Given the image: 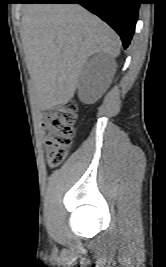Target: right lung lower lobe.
I'll use <instances>...</instances> for the list:
<instances>
[{
	"mask_svg": "<svg viewBox=\"0 0 166 267\" xmlns=\"http://www.w3.org/2000/svg\"><path fill=\"white\" fill-rule=\"evenodd\" d=\"M22 3H78L108 23L121 37L124 49L132 39L140 0H23Z\"/></svg>",
	"mask_w": 166,
	"mask_h": 267,
	"instance_id": "right-lung-lower-lobe-1",
	"label": "right lung lower lobe"
}]
</instances>
